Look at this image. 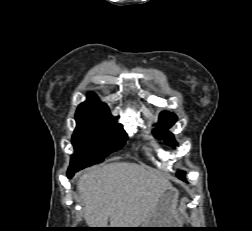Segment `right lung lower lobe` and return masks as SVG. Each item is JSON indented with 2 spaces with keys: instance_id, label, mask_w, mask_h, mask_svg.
Segmentation results:
<instances>
[{
  "instance_id": "1",
  "label": "right lung lower lobe",
  "mask_w": 252,
  "mask_h": 231,
  "mask_svg": "<svg viewBox=\"0 0 252 231\" xmlns=\"http://www.w3.org/2000/svg\"><path fill=\"white\" fill-rule=\"evenodd\" d=\"M77 171H79V170L78 169H69L67 171V177L71 178L74 175V173L77 172Z\"/></svg>"
}]
</instances>
